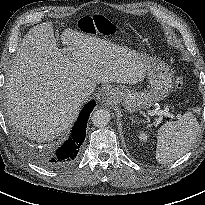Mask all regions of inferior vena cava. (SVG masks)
<instances>
[{"label": "inferior vena cava", "instance_id": "1", "mask_svg": "<svg viewBox=\"0 0 205 205\" xmlns=\"http://www.w3.org/2000/svg\"><path fill=\"white\" fill-rule=\"evenodd\" d=\"M91 93L92 91L90 89L77 90L75 99L76 101L83 103L90 97Z\"/></svg>", "mask_w": 205, "mask_h": 205}]
</instances>
